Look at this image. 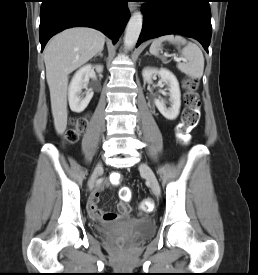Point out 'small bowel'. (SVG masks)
Segmentation results:
<instances>
[{
    "instance_id": "1",
    "label": "small bowel",
    "mask_w": 258,
    "mask_h": 275,
    "mask_svg": "<svg viewBox=\"0 0 258 275\" xmlns=\"http://www.w3.org/2000/svg\"><path fill=\"white\" fill-rule=\"evenodd\" d=\"M107 186V183L105 181H101L95 193L91 197L90 203H89V210L91 214L94 217H102L107 220H112L117 217L118 214H126L129 213L131 210V207L129 203L126 200H122L117 207V213L116 212H103L98 208V199H99V193Z\"/></svg>"
}]
</instances>
